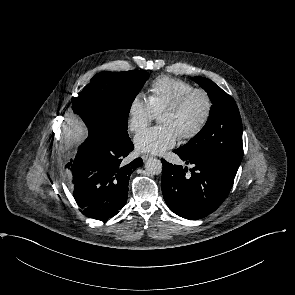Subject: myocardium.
I'll use <instances>...</instances> for the list:
<instances>
[{
  "label": "myocardium",
  "instance_id": "obj_1",
  "mask_svg": "<svg viewBox=\"0 0 295 295\" xmlns=\"http://www.w3.org/2000/svg\"><path fill=\"white\" fill-rule=\"evenodd\" d=\"M196 95H200L203 97L205 101V111L198 122V124L189 132L183 133L180 135L183 139H192L199 135L203 129L208 124L212 113L214 109V101L211 96V94L203 88H193L189 92H187L185 95H183L179 100H177L174 104L167 107L162 113L163 114H179L181 113L190 103V101L195 97Z\"/></svg>",
  "mask_w": 295,
  "mask_h": 295
}]
</instances>
